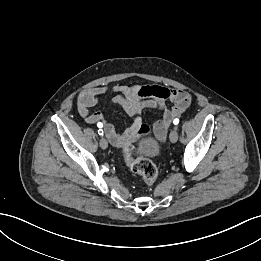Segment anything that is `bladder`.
Segmentation results:
<instances>
[{
  "label": "bladder",
  "instance_id": "1",
  "mask_svg": "<svg viewBox=\"0 0 261 261\" xmlns=\"http://www.w3.org/2000/svg\"><path fill=\"white\" fill-rule=\"evenodd\" d=\"M160 150L159 145L151 139H143L138 142L137 148L135 150V154L138 157H153Z\"/></svg>",
  "mask_w": 261,
  "mask_h": 261
}]
</instances>
